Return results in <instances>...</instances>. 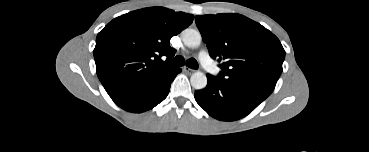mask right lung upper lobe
<instances>
[{"label":"right lung upper lobe","instance_id":"1","mask_svg":"<svg viewBox=\"0 0 369 152\" xmlns=\"http://www.w3.org/2000/svg\"><path fill=\"white\" fill-rule=\"evenodd\" d=\"M193 18L191 14L151 7L129 12L107 24L97 35L93 53L98 78L109 96L172 70L174 67L156 61L174 56L169 41Z\"/></svg>","mask_w":369,"mask_h":152}]
</instances>
